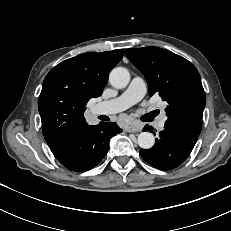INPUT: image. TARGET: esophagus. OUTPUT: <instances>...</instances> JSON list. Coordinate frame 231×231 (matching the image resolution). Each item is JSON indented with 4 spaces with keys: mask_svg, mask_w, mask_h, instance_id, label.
<instances>
[{
    "mask_svg": "<svg viewBox=\"0 0 231 231\" xmlns=\"http://www.w3.org/2000/svg\"><path fill=\"white\" fill-rule=\"evenodd\" d=\"M126 131L127 132H139V131H141V127L138 125H129L126 128Z\"/></svg>",
    "mask_w": 231,
    "mask_h": 231,
    "instance_id": "34e87169",
    "label": "esophagus"
}]
</instances>
